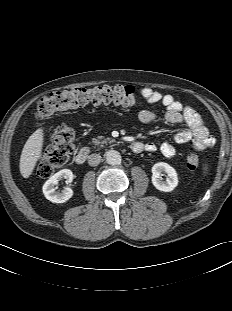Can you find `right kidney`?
Here are the masks:
<instances>
[{"mask_svg": "<svg viewBox=\"0 0 232 311\" xmlns=\"http://www.w3.org/2000/svg\"><path fill=\"white\" fill-rule=\"evenodd\" d=\"M73 173L69 169H63L51 176L43 185V193L46 199L53 203H64L73 196V191L69 187H65L62 192H57L55 185L60 180L65 179L66 183L69 184L73 180Z\"/></svg>", "mask_w": 232, "mask_h": 311, "instance_id": "obj_1", "label": "right kidney"}]
</instances>
